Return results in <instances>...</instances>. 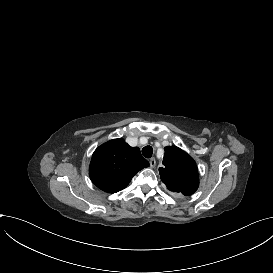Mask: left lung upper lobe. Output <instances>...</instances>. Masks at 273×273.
I'll list each match as a JSON object with an SVG mask.
<instances>
[{
    "label": "left lung upper lobe",
    "instance_id": "left-lung-upper-lobe-1",
    "mask_svg": "<svg viewBox=\"0 0 273 273\" xmlns=\"http://www.w3.org/2000/svg\"><path fill=\"white\" fill-rule=\"evenodd\" d=\"M164 149V167L159 168L162 182L170 191L185 196L193 194L199 186L196 162L176 146H168Z\"/></svg>",
    "mask_w": 273,
    "mask_h": 273
}]
</instances>
